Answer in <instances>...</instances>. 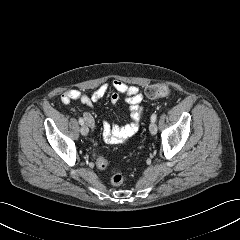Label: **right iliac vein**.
Returning <instances> with one entry per match:
<instances>
[{
    "instance_id": "obj_1",
    "label": "right iliac vein",
    "mask_w": 240,
    "mask_h": 240,
    "mask_svg": "<svg viewBox=\"0 0 240 240\" xmlns=\"http://www.w3.org/2000/svg\"><path fill=\"white\" fill-rule=\"evenodd\" d=\"M80 132L82 135L86 136L89 132V128L86 125H82Z\"/></svg>"
}]
</instances>
